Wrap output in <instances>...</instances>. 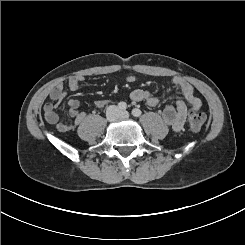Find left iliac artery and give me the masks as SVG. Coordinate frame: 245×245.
Wrapping results in <instances>:
<instances>
[{
  "instance_id": "obj_1",
  "label": "left iliac artery",
  "mask_w": 245,
  "mask_h": 245,
  "mask_svg": "<svg viewBox=\"0 0 245 245\" xmlns=\"http://www.w3.org/2000/svg\"><path fill=\"white\" fill-rule=\"evenodd\" d=\"M141 114H142V112H141V110L138 109V108H134V109L132 110V115H133L134 117H139V116H141Z\"/></svg>"
}]
</instances>
